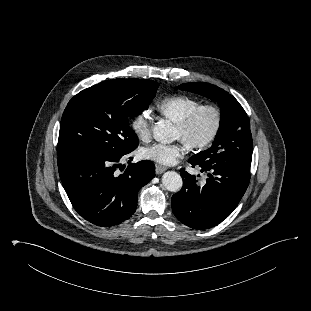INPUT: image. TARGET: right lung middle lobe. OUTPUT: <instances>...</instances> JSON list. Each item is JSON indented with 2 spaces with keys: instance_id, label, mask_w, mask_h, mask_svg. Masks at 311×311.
<instances>
[{
  "instance_id": "dd1d6c3e",
  "label": "right lung middle lobe",
  "mask_w": 311,
  "mask_h": 311,
  "mask_svg": "<svg viewBox=\"0 0 311 311\" xmlns=\"http://www.w3.org/2000/svg\"><path fill=\"white\" fill-rule=\"evenodd\" d=\"M159 84L144 79L103 81L75 95L60 124L57 154L124 156L138 146L129 121L155 97Z\"/></svg>"
}]
</instances>
